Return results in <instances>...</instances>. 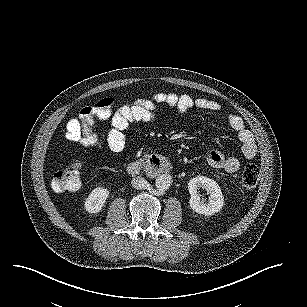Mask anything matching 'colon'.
<instances>
[{"label": "colon", "mask_w": 307, "mask_h": 307, "mask_svg": "<svg viewBox=\"0 0 307 307\" xmlns=\"http://www.w3.org/2000/svg\"><path fill=\"white\" fill-rule=\"evenodd\" d=\"M114 104L113 98H104L93 106L85 107L80 112L81 134L80 143L87 147H99L101 140L92 126L96 119L111 111ZM260 176L258 166L248 164L243 172L241 181L246 188L257 185ZM81 185V164L72 162L64 169L58 171L52 179V188L56 192L74 191Z\"/></svg>", "instance_id": "5ec220e1"}]
</instances>
